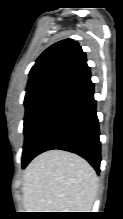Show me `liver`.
<instances>
[{
	"label": "liver",
	"instance_id": "6515ba94",
	"mask_svg": "<svg viewBox=\"0 0 123 219\" xmlns=\"http://www.w3.org/2000/svg\"><path fill=\"white\" fill-rule=\"evenodd\" d=\"M98 177L82 157L50 150L34 158L24 171L26 212H90Z\"/></svg>",
	"mask_w": 123,
	"mask_h": 219
}]
</instances>
